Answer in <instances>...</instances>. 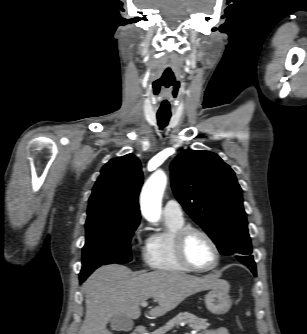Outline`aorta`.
<instances>
[{
  "label": "aorta",
  "mask_w": 307,
  "mask_h": 334,
  "mask_svg": "<svg viewBox=\"0 0 307 334\" xmlns=\"http://www.w3.org/2000/svg\"><path fill=\"white\" fill-rule=\"evenodd\" d=\"M167 185L166 174L162 171L155 172L144 184L140 206L142 215L151 223H156L161 217V201Z\"/></svg>",
  "instance_id": "1"
}]
</instances>
